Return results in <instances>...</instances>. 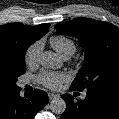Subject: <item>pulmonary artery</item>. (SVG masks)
<instances>
[{
	"instance_id": "1",
	"label": "pulmonary artery",
	"mask_w": 119,
	"mask_h": 119,
	"mask_svg": "<svg viewBox=\"0 0 119 119\" xmlns=\"http://www.w3.org/2000/svg\"><path fill=\"white\" fill-rule=\"evenodd\" d=\"M69 57H66L65 59H68ZM27 82L26 81H23L21 82V86H24ZM82 98H85V94H83Z\"/></svg>"
}]
</instances>
